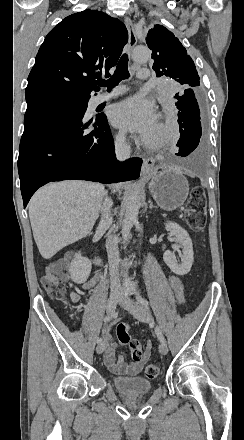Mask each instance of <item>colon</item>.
Here are the masks:
<instances>
[{"label":"colon","mask_w":244,"mask_h":440,"mask_svg":"<svg viewBox=\"0 0 244 440\" xmlns=\"http://www.w3.org/2000/svg\"><path fill=\"white\" fill-rule=\"evenodd\" d=\"M187 222L194 232L201 231L206 223V200L204 189L202 187H195L189 199V207L187 210ZM70 263L66 260L57 261L50 264L45 275L41 278V284L45 290L52 294H57L61 288L64 278L70 270ZM130 324H120L116 329V336L121 345H127L129 337L125 335L126 329ZM123 331V332H122ZM130 356L133 362H140L143 358L142 344L139 341H131ZM160 373V366L158 363L152 362L144 367V375L149 380H154Z\"/></svg>","instance_id":"1"}]
</instances>
